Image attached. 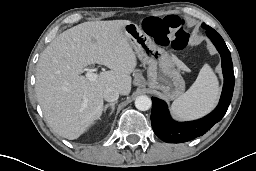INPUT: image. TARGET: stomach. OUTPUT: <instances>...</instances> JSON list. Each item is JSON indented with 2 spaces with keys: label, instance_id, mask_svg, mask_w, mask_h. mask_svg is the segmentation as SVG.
<instances>
[{
  "label": "stomach",
  "instance_id": "0dacf381",
  "mask_svg": "<svg viewBox=\"0 0 256 171\" xmlns=\"http://www.w3.org/2000/svg\"><path fill=\"white\" fill-rule=\"evenodd\" d=\"M123 32L138 58L148 65V86L161 90L169 100L181 96L185 90V81L176 67L175 58L158 46L136 23H127Z\"/></svg>",
  "mask_w": 256,
  "mask_h": 171
}]
</instances>
